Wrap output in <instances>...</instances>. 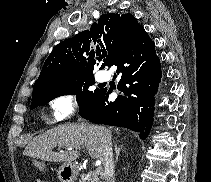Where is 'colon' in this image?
Instances as JSON below:
<instances>
[{"mask_svg": "<svg viewBox=\"0 0 211 182\" xmlns=\"http://www.w3.org/2000/svg\"><path fill=\"white\" fill-rule=\"evenodd\" d=\"M37 182H49V181H45V180H38Z\"/></svg>", "mask_w": 211, "mask_h": 182, "instance_id": "1", "label": "colon"}]
</instances>
